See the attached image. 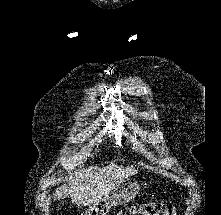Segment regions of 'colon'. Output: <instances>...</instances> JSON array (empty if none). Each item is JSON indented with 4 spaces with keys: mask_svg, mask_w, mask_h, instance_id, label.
I'll list each match as a JSON object with an SVG mask.
<instances>
[{
    "mask_svg": "<svg viewBox=\"0 0 221 215\" xmlns=\"http://www.w3.org/2000/svg\"><path fill=\"white\" fill-rule=\"evenodd\" d=\"M178 215L176 207L161 203H146L140 206L121 208L116 215Z\"/></svg>",
    "mask_w": 221,
    "mask_h": 215,
    "instance_id": "obj_1",
    "label": "colon"
}]
</instances>
